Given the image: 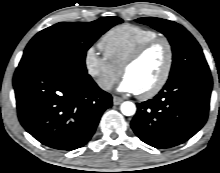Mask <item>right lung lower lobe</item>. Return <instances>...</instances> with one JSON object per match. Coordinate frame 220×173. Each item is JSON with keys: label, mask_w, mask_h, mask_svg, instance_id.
I'll return each instance as SVG.
<instances>
[{"label": "right lung lower lobe", "mask_w": 220, "mask_h": 173, "mask_svg": "<svg viewBox=\"0 0 220 173\" xmlns=\"http://www.w3.org/2000/svg\"><path fill=\"white\" fill-rule=\"evenodd\" d=\"M13 85L18 117L35 139L57 150L85 145L112 97L86 74L56 64L18 66Z\"/></svg>", "instance_id": "98d812e1"}]
</instances>
